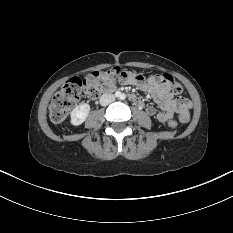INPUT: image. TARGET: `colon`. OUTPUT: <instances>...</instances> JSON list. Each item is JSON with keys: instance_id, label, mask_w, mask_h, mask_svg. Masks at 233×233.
<instances>
[{"instance_id": "obj_1", "label": "colon", "mask_w": 233, "mask_h": 233, "mask_svg": "<svg viewBox=\"0 0 233 233\" xmlns=\"http://www.w3.org/2000/svg\"><path fill=\"white\" fill-rule=\"evenodd\" d=\"M119 73H121L120 68L114 67L105 71L93 72L84 78H71L52 99L49 108L51 120L56 123L63 121L82 96L95 98L102 90L113 88ZM155 77L167 83L173 94L182 93V86L172 76L163 74ZM168 125L171 128H176L177 123L171 120Z\"/></svg>"}]
</instances>
